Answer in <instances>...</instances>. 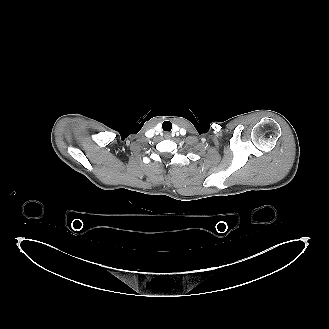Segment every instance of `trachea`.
Masks as SVG:
<instances>
[{"label":"trachea","instance_id":"trachea-1","mask_svg":"<svg viewBox=\"0 0 329 329\" xmlns=\"http://www.w3.org/2000/svg\"><path fill=\"white\" fill-rule=\"evenodd\" d=\"M162 128L164 131L170 132L172 129V123L170 121H164L162 124Z\"/></svg>","mask_w":329,"mask_h":329}]
</instances>
